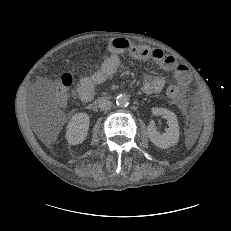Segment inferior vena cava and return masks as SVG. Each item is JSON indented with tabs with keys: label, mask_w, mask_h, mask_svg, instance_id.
<instances>
[{
	"label": "inferior vena cava",
	"mask_w": 231,
	"mask_h": 231,
	"mask_svg": "<svg viewBox=\"0 0 231 231\" xmlns=\"http://www.w3.org/2000/svg\"><path fill=\"white\" fill-rule=\"evenodd\" d=\"M98 105L101 111H107L111 108L112 102L106 98H100L98 100Z\"/></svg>",
	"instance_id": "602c4592"
}]
</instances>
